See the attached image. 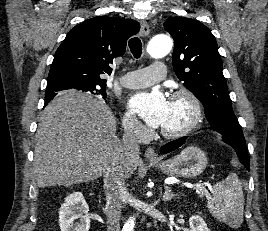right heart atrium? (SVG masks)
Listing matches in <instances>:
<instances>
[{
  "instance_id": "right-heart-atrium-1",
  "label": "right heart atrium",
  "mask_w": 268,
  "mask_h": 231,
  "mask_svg": "<svg viewBox=\"0 0 268 231\" xmlns=\"http://www.w3.org/2000/svg\"><path fill=\"white\" fill-rule=\"evenodd\" d=\"M123 125L127 131H143L144 128L142 124L129 112L124 113L123 115ZM139 137V134H136Z\"/></svg>"
}]
</instances>
